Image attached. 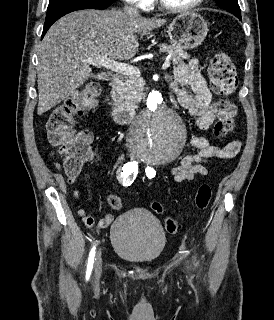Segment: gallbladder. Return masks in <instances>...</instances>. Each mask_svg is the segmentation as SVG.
Listing matches in <instances>:
<instances>
[{
	"instance_id": "gallbladder-1",
	"label": "gallbladder",
	"mask_w": 274,
	"mask_h": 320,
	"mask_svg": "<svg viewBox=\"0 0 274 320\" xmlns=\"http://www.w3.org/2000/svg\"><path fill=\"white\" fill-rule=\"evenodd\" d=\"M90 77L91 79H106L107 74L106 72H91Z\"/></svg>"
}]
</instances>
